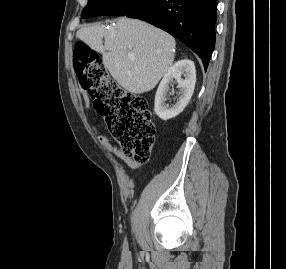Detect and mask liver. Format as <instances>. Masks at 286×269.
Wrapping results in <instances>:
<instances>
[{"instance_id": "liver-1", "label": "liver", "mask_w": 286, "mask_h": 269, "mask_svg": "<svg viewBox=\"0 0 286 269\" xmlns=\"http://www.w3.org/2000/svg\"><path fill=\"white\" fill-rule=\"evenodd\" d=\"M76 36L102 53L105 68L130 93L152 90L173 63L175 39L138 19L119 18L109 30L102 24L83 27Z\"/></svg>"}]
</instances>
